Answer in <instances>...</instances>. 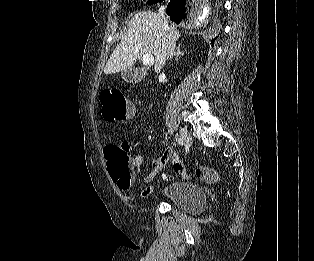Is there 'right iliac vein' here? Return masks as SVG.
<instances>
[{
  "label": "right iliac vein",
  "instance_id": "1",
  "mask_svg": "<svg viewBox=\"0 0 314 261\" xmlns=\"http://www.w3.org/2000/svg\"><path fill=\"white\" fill-rule=\"evenodd\" d=\"M180 135L182 137V139L187 143V144H191L192 143V136L189 133V131L185 128H180L179 130Z\"/></svg>",
  "mask_w": 314,
  "mask_h": 261
}]
</instances>
